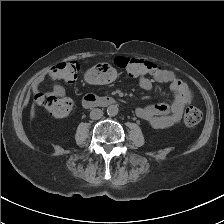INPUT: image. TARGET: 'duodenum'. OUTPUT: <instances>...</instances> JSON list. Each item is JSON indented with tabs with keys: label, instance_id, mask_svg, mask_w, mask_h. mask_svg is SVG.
I'll list each match as a JSON object with an SVG mask.
<instances>
[{
	"label": "duodenum",
	"instance_id": "410a0bca",
	"mask_svg": "<svg viewBox=\"0 0 224 224\" xmlns=\"http://www.w3.org/2000/svg\"><path fill=\"white\" fill-rule=\"evenodd\" d=\"M117 104V100L111 96H88L83 99V108H90L92 106L108 107Z\"/></svg>",
	"mask_w": 224,
	"mask_h": 224
}]
</instances>
